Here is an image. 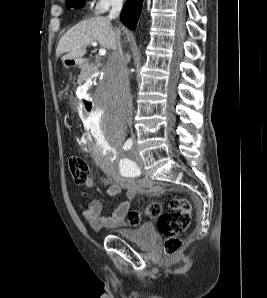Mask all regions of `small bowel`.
I'll return each mask as SVG.
<instances>
[{"mask_svg":"<svg viewBox=\"0 0 267 298\" xmlns=\"http://www.w3.org/2000/svg\"><path fill=\"white\" fill-rule=\"evenodd\" d=\"M108 185L107 195L114 197L119 195L122 190H125L127 200L121 202L118 207L109 215H103V205L99 200L91 199L88 205L82 209V216L89 224V226L95 230L100 231L104 228H119L125 224V217L130 208V199H132L138 189V184L132 180L124 179L119 175L108 174L104 179ZM85 188H91L93 186V180L89 179L84 185ZM87 196V193H84Z\"/></svg>","mask_w":267,"mask_h":298,"instance_id":"small-bowel-1","label":"small bowel"}]
</instances>
